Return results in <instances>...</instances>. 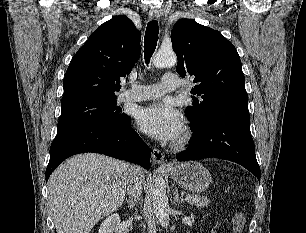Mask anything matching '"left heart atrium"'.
I'll return each instance as SVG.
<instances>
[{"label": "left heart atrium", "mask_w": 306, "mask_h": 233, "mask_svg": "<svg viewBox=\"0 0 306 233\" xmlns=\"http://www.w3.org/2000/svg\"><path fill=\"white\" fill-rule=\"evenodd\" d=\"M137 124L143 132L164 141L178 138L183 130L181 114L169 102H156L142 108Z\"/></svg>", "instance_id": "39dd6f15"}]
</instances>
